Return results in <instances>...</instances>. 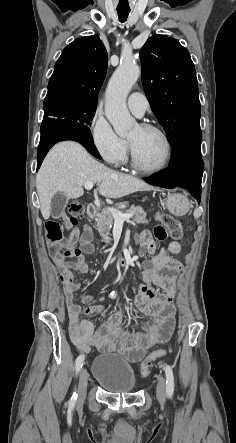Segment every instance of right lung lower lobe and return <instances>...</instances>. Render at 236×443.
I'll use <instances>...</instances> for the list:
<instances>
[{
    "label": "right lung lower lobe",
    "instance_id": "right-lung-lower-lobe-1",
    "mask_svg": "<svg viewBox=\"0 0 236 443\" xmlns=\"http://www.w3.org/2000/svg\"><path fill=\"white\" fill-rule=\"evenodd\" d=\"M63 140L77 141L82 144L93 156L101 159V156L93 143L91 133L77 129L70 124L69 121L52 118L43 121L41 125V138L37 151V170L39 169L49 149L55 143Z\"/></svg>",
    "mask_w": 236,
    "mask_h": 443
}]
</instances>
